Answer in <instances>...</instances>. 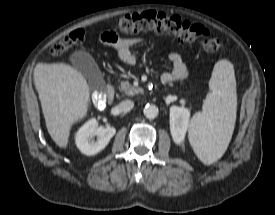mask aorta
<instances>
[{"label":"aorta","mask_w":275,"mask_h":215,"mask_svg":"<svg viewBox=\"0 0 275 215\" xmlns=\"http://www.w3.org/2000/svg\"><path fill=\"white\" fill-rule=\"evenodd\" d=\"M143 113H144L145 117H147L148 119H154L158 116L159 109L155 105L148 104L144 107Z\"/></svg>","instance_id":"obj_1"}]
</instances>
